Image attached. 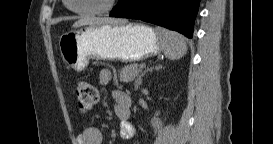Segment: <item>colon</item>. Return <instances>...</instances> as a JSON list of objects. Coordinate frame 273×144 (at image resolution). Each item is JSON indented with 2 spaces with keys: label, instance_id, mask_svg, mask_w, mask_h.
Wrapping results in <instances>:
<instances>
[{
  "label": "colon",
  "instance_id": "obj_1",
  "mask_svg": "<svg viewBox=\"0 0 273 144\" xmlns=\"http://www.w3.org/2000/svg\"><path fill=\"white\" fill-rule=\"evenodd\" d=\"M75 89L79 111L88 112L92 110L98 100V91L94 84L88 79L82 78L77 81Z\"/></svg>",
  "mask_w": 273,
  "mask_h": 144
}]
</instances>
